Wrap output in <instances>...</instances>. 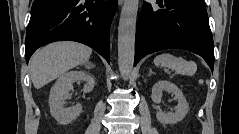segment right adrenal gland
<instances>
[{
    "label": "right adrenal gland",
    "mask_w": 239,
    "mask_h": 134,
    "mask_svg": "<svg viewBox=\"0 0 239 134\" xmlns=\"http://www.w3.org/2000/svg\"><path fill=\"white\" fill-rule=\"evenodd\" d=\"M88 64H89L90 67H93V64L89 61L85 63V66L88 67Z\"/></svg>",
    "instance_id": "right-adrenal-gland-1"
}]
</instances>
